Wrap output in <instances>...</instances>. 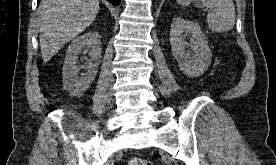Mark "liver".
<instances>
[{"label": "liver", "mask_w": 276, "mask_h": 165, "mask_svg": "<svg viewBox=\"0 0 276 165\" xmlns=\"http://www.w3.org/2000/svg\"><path fill=\"white\" fill-rule=\"evenodd\" d=\"M98 0H42L38 8L40 47L47 63L96 18Z\"/></svg>", "instance_id": "obj_1"}]
</instances>
